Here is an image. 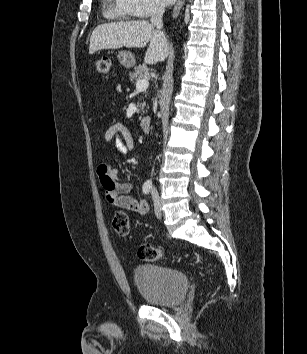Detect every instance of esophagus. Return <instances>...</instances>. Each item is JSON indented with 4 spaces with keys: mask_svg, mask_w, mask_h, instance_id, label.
I'll return each instance as SVG.
<instances>
[{
    "mask_svg": "<svg viewBox=\"0 0 307 354\" xmlns=\"http://www.w3.org/2000/svg\"><path fill=\"white\" fill-rule=\"evenodd\" d=\"M184 3H185V0H178L177 4L175 5L173 12H172L173 18H176L179 15Z\"/></svg>",
    "mask_w": 307,
    "mask_h": 354,
    "instance_id": "1",
    "label": "esophagus"
}]
</instances>
